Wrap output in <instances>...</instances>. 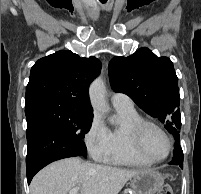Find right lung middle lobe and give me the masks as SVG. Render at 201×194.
Segmentation results:
<instances>
[{"mask_svg": "<svg viewBox=\"0 0 201 194\" xmlns=\"http://www.w3.org/2000/svg\"><path fill=\"white\" fill-rule=\"evenodd\" d=\"M27 123L44 119L63 128L80 139L84 138L92 124V114L76 110L70 104L57 99H39L25 105ZM87 157V151L81 154Z\"/></svg>", "mask_w": 201, "mask_h": 194, "instance_id": "obj_1", "label": "right lung middle lobe"}]
</instances>
